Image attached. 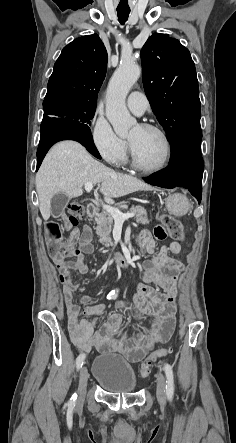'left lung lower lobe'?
I'll list each match as a JSON object with an SVG mask.
<instances>
[{
  "instance_id": "0a47b994",
  "label": "left lung lower lobe",
  "mask_w": 236,
  "mask_h": 443,
  "mask_svg": "<svg viewBox=\"0 0 236 443\" xmlns=\"http://www.w3.org/2000/svg\"><path fill=\"white\" fill-rule=\"evenodd\" d=\"M201 139V128H191L179 133L171 143L169 166L143 178L145 182L163 188H188L200 203L203 177Z\"/></svg>"
}]
</instances>
